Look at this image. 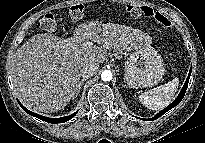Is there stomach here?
Wrapping results in <instances>:
<instances>
[{
	"instance_id": "stomach-1",
	"label": "stomach",
	"mask_w": 205,
	"mask_h": 143,
	"mask_svg": "<svg viewBox=\"0 0 205 143\" xmlns=\"http://www.w3.org/2000/svg\"><path fill=\"white\" fill-rule=\"evenodd\" d=\"M165 74L161 55L151 46L133 52L125 64L124 78L132 88L151 87Z\"/></svg>"
}]
</instances>
